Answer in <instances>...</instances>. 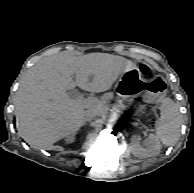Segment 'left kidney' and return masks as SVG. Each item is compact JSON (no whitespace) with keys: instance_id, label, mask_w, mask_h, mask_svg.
Wrapping results in <instances>:
<instances>
[{"instance_id":"1","label":"left kidney","mask_w":194,"mask_h":193,"mask_svg":"<svg viewBox=\"0 0 194 193\" xmlns=\"http://www.w3.org/2000/svg\"><path fill=\"white\" fill-rule=\"evenodd\" d=\"M146 148L140 145L139 140L135 137L132 139L131 152L139 158L157 156L161 151V144L157 136L150 134L145 142Z\"/></svg>"}]
</instances>
